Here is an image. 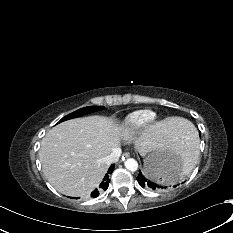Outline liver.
Wrapping results in <instances>:
<instances>
[{
  "label": "liver",
  "mask_w": 233,
  "mask_h": 233,
  "mask_svg": "<svg viewBox=\"0 0 233 233\" xmlns=\"http://www.w3.org/2000/svg\"><path fill=\"white\" fill-rule=\"evenodd\" d=\"M182 131L183 119L167 113L142 126L135 148L142 156L158 146L174 148ZM123 136L124 127L107 117L89 116L60 123L41 141L43 173L64 195H88L102 181L109 166L105 158Z\"/></svg>",
  "instance_id": "liver-1"
}]
</instances>
